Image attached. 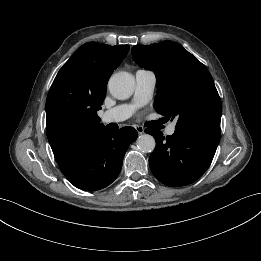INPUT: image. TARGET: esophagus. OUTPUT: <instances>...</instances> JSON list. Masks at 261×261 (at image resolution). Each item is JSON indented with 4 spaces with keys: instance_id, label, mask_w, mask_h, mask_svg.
Masks as SVG:
<instances>
[{
    "instance_id": "34e87169",
    "label": "esophagus",
    "mask_w": 261,
    "mask_h": 261,
    "mask_svg": "<svg viewBox=\"0 0 261 261\" xmlns=\"http://www.w3.org/2000/svg\"><path fill=\"white\" fill-rule=\"evenodd\" d=\"M136 131L139 135L144 133V128L142 126H136Z\"/></svg>"
}]
</instances>
